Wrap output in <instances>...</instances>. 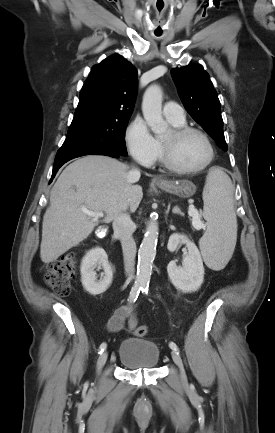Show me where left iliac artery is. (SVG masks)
I'll use <instances>...</instances> for the list:
<instances>
[{"label": "left iliac artery", "mask_w": 275, "mask_h": 433, "mask_svg": "<svg viewBox=\"0 0 275 433\" xmlns=\"http://www.w3.org/2000/svg\"><path fill=\"white\" fill-rule=\"evenodd\" d=\"M142 292H144V293H148V285H143V287H142ZM169 347L172 349V350H174V351H176L177 353H179V348L177 347V345L175 344V343H173V342H170L169 343Z\"/></svg>", "instance_id": "44dca946"}]
</instances>
